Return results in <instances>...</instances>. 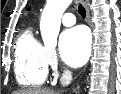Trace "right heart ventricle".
I'll list each match as a JSON object with an SVG mask.
<instances>
[{
    "mask_svg": "<svg viewBox=\"0 0 121 94\" xmlns=\"http://www.w3.org/2000/svg\"><path fill=\"white\" fill-rule=\"evenodd\" d=\"M46 47L34 36L30 27L25 28L15 44V76L27 88L39 87L47 77Z\"/></svg>",
    "mask_w": 121,
    "mask_h": 94,
    "instance_id": "1",
    "label": "right heart ventricle"
}]
</instances>
